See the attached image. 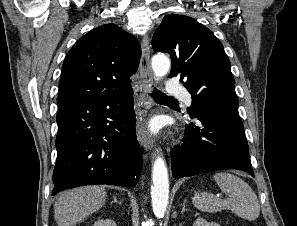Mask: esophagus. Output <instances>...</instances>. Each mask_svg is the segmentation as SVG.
Instances as JSON below:
<instances>
[{"mask_svg": "<svg viewBox=\"0 0 297 226\" xmlns=\"http://www.w3.org/2000/svg\"><path fill=\"white\" fill-rule=\"evenodd\" d=\"M140 81L137 85L136 100L137 112V138L139 143L147 150L153 147V140L146 129V109L150 107L148 93L152 85V71L150 65L149 37L146 35L142 40V53L140 60Z\"/></svg>", "mask_w": 297, "mask_h": 226, "instance_id": "34e87169", "label": "esophagus"}]
</instances>
